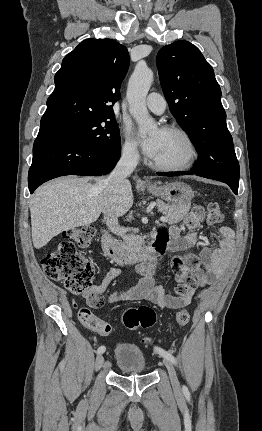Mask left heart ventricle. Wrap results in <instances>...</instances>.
Instances as JSON below:
<instances>
[{
	"label": "left heart ventricle",
	"instance_id": "left-heart-ventricle-1",
	"mask_svg": "<svg viewBox=\"0 0 262 431\" xmlns=\"http://www.w3.org/2000/svg\"><path fill=\"white\" fill-rule=\"evenodd\" d=\"M186 154V142L177 134L162 130L160 142L152 160L162 164H177L185 158Z\"/></svg>",
	"mask_w": 262,
	"mask_h": 431
}]
</instances>
